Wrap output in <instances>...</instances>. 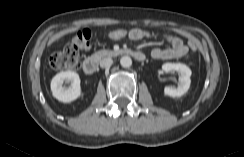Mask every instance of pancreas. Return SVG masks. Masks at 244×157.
I'll list each match as a JSON object with an SVG mask.
<instances>
[{"label": "pancreas", "mask_w": 244, "mask_h": 157, "mask_svg": "<svg viewBox=\"0 0 244 157\" xmlns=\"http://www.w3.org/2000/svg\"><path fill=\"white\" fill-rule=\"evenodd\" d=\"M117 55L116 52L114 51H111V50H100V51H97L93 54V57L97 58V59H101L103 57H106V56H115Z\"/></svg>", "instance_id": "obj_1"}]
</instances>
